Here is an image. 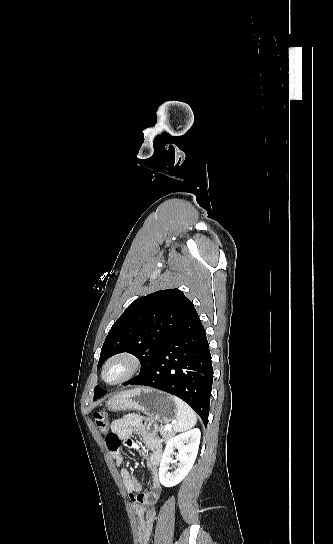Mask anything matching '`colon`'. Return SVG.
<instances>
[{
  "instance_id": "colon-1",
  "label": "colon",
  "mask_w": 333,
  "mask_h": 544,
  "mask_svg": "<svg viewBox=\"0 0 333 544\" xmlns=\"http://www.w3.org/2000/svg\"><path fill=\"white\" fill-rule=\"evenodd\" d=\"M94 420L97 428L102 433H107L109 429L108 413L105 410L98 411L94 414Z\"/></svg>"
}]
</instances>
